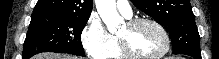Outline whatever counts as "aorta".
<instances>
[{"label": "aorta", "instance_id": "aorta-1", "mask_svg": "<svg viewBox=\"0 0 219 59\" xmlns=\"http://www.w3.org/2000/svg\"><path fill=\"white\" fill-rule=\"evenodd\" d=\"M97 11L107 26L110 33L117 31L118 25L122 22L116 9L115 0H95Z\"/></svg>", "mask_w": 219, "mask_h": 59}]
</instances>
